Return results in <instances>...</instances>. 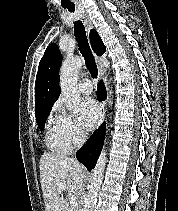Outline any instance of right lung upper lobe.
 Listing matches in <instances>:
<instances>
[{
    "label": "right lung upper lobe",
    "instance_id": "cb5924a9",
    "mask_svg": "<svg viewBox=\"0 0 178 211\" xmlns=\"http://www.w3.org/2000/svg\"><path fill=\"white\" fill-rule=\"evenodd\" d=\"M90 41L94 52L101 56L106 48L94 29L90 31ZM60 65L61 53L58 46L52 43L46 49L38 67L35 89V114L52 107L58 99L60 95L58 84Z\"/></svg>",
    "mask_w": 178,
    "mask_h": 211
}]
</instances>
